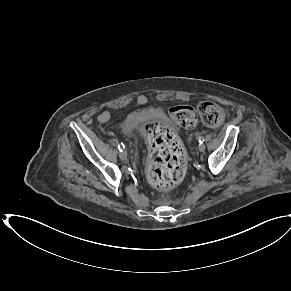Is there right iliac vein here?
I'll list each match as a JSON object with an SVG mask.
<instances>
[{
    "instance_id": "obj_1",
    "label": "right iliac vein",
    "mask_w": 291,
    "mask_h": 291,
    "mask_svg": "<svg viewBox=\"0 0 291 291\" xmlns=\"http://www.w3.org/2000/svg\"><path fill=\"white\" fill-rule=\"evenodd\" d=\"M119 157L122 161H125L127 159V152L126 150H122L120 153H119Z\"/></svg>"
}]
</instances>
